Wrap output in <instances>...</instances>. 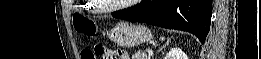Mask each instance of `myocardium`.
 Instances as JSON below:
<instances>
[{
	"label": "myocardium",
	"instance_id": "obj_1",
	"mask_svg": "<svg viewBox=\"0 0 261 59\" xmlns=\"http://www.w3.org/2000/svg\"><path fill=\"white\" fill-rule=\"evenodd\" d=\"M94 3V5L96 4V1H92ZM132 3V2H129ZM128 4H120V5H116V6H110V7H97L96 9L101 12V13H113L122 9L127 8V6H129Z\"/></svg>",
	"mask_w": 261,
	"mask_h": 59
}]
</instances>
